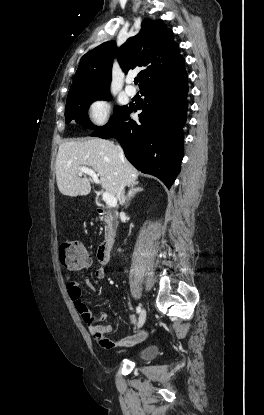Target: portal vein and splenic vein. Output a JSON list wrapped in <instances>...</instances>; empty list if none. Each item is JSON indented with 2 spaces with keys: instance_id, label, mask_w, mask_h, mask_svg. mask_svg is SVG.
Segmentation results:
<instances>
[{
  "instance_id": "obj_1",
  "label": "portal vein and splenic vein",
  "mask_w": 264,
  "mask_h": 415,
  "mask_svg": "<svg viewBox=\"0 0 264 415\" xmlns=\"http://www.w3.org/2000/svg\"><path fill=\"white\" fill-rule=\"evenodd\" d=\"M82 174H87L89 175L92 180L96 183L99 184L100 181L98 179V175L95 173L94 170L87 168V167H82L79 170L78 175H82ZM103 200L105 201V203L109 206V207H115L117 205V199L116 197H114L113 195L109 194L108 192H104L103 195Z\"/></svg>"
}]
</instances>
